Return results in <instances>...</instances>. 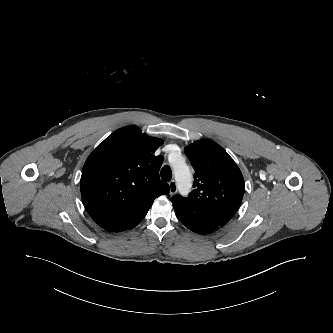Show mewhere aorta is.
<instances>
[{"label":"aorta","mask_w":333,"mask_h":333,"mask_svg":"<svg viewBox=\"0 0 333 333\" xmlns=\"http://www.w3.org/2000/svg\"><path fill=\"white\" fill-rule=\"evenodd\" d=\"M173 175L177 182L179 192L187 195L191 188L192 174L189 166L182 157H177L173 162Z\"/></svg>","instance_id":"aorta-1"}]
</instances>
